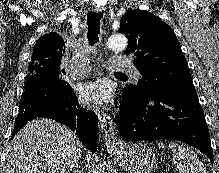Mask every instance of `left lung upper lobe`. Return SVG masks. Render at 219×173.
Masks as SVG:
<instances>
[{
	"instance_id": "left-lung-upper-lobe-1",
	"label": "left lung upper lobe",
	"mask_w": 219,
	"mask_h": 173,
	"mask_svg": "<svg viewBox=\"0 0 219 173\" xmlns=\"http://www.w3.org/2000/svg\"><path fill=\"white\" fill-rule=\"evenodd\" d=\"M120 33L128 37L126 54L136 59L142 78L123 90L137 98L168 95L194 89L186 59L174 31L145 10H132L121 18Z\"/></svg>"
}]
</instances>
